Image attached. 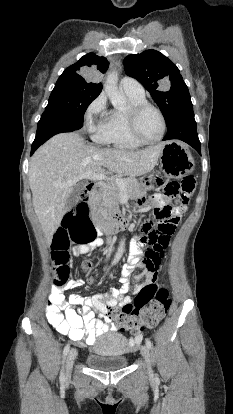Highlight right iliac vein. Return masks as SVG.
<instances>
[{"label":"right iliac vein","mask_w":233,"mask_h":414,"mask_svg":"<svg viewBox=\"0 0 233 414\" xmlns=\"http://www.w3.org/2000/svg\"><path fill=\"white\" fill-rule=\"evenodd\" d=\"M76 355H77L76 350L72 349L69 352L68 356H67V359H66V372H65L66 378H69L71 376L73 363H74V360L76 358Z\"/></svg>","instance_id":"63e3f726"}]
</instances>
